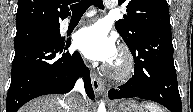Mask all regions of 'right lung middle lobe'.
Instances as JSON below:
<instances>
[{"label":"right lung middle lobe","instance_id":"obj_1","mask_svg":"<svg viewBox=\"0 0 193 112\" xmlns=\"http://www.w3.org/2000/svg\"><path fill=\"white\" fill-rule=\"evenodd\" d=\"M56 32L60 35L59 25L54 26H40V27H33L24 30L17 31L15 39H14V46L15 48L25 44L31 40L37 39L43 35Z\"/></svg>","mask_w":193,"mask_h":112}]
</instances>
